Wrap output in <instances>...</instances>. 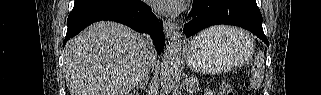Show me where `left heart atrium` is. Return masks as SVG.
Instances as JSON below:
<instances>
[{"label": "left heart atrium", "mask_w": 321, "mask_h": 95, "mask_svg": "<svg viewBox=\"0 0 321 95\" xmlns=\"http://www.w3.org/2000/svg\"><path fill=\"white\" fill-rule=\"evenodd\" d=\"M183 1L180 0H152L151 3L154 8L165 11L175 12L180 9Z\"/></svg>", "instance_id": "obj_1"}]
</instances>
